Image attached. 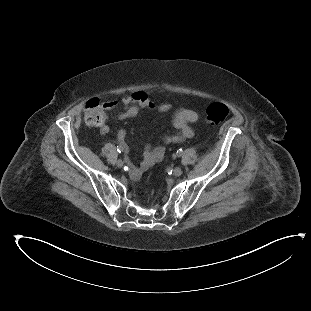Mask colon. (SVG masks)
<instances>
[{"label": "colon", "mask_w": 311, "mask_h": 311, "mask_svg": "<svg viewBox=\"0 0 311 311\" xmlns=\"http://www.w3.org/2000/svg\"><path fill=\"white\" fill-rule=\"evenodd\" d=\"M108 104L98 100L87 102L85 107V120L88 124L103 126L107 121L106 110ZM229 114V109L224 104H212L205 112L204 120L207 124H218Z\"/></svg>", "instance_id": "1"}]
</instances>
